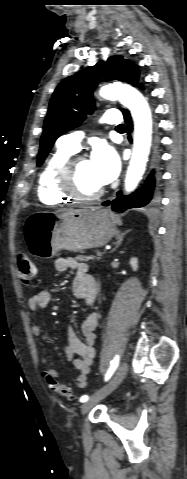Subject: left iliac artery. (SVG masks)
Returning <instances> with one entry per match:
<instances>
[{
    "instance_id": "1",
    "label": "left iliac artery",
    "mask_w": 187,
    "mask_h": 479,
    "mask_svg": "<svg viewBox=\"0 0 187 479\" xmlns=\"http://www.w3.org/2000/svg\"><path fill=\"white\" fill-rule=\"evenodd\" d=\"M118 363H119V356L116 355V357L114 358V360L111 362V366L110 368L108 369L106 375H105V381H108L111 376L113 375L115 369L117 368L118 366ZM89 399V397L87 395H83L81 398H80V402H86L87 400Z\"/></svg>"
}]
</instances>
